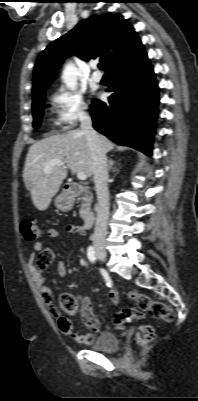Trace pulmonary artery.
<instances>
[{
    "label": "pulmonary artery",
    "instance_id": "pulmonary-artery-1",
    "mask_svg": "<svg viewBox=\"0 0 198 401\" xmlns=\"http://www.w3.org/2000/svg\"><path fill=\"white\" fill-rule=\"evenodd\" d=\"M92 69L94 70V71H93V74H92V80H93L94 82H97V83L101 82L102 79H103V75H102V73L98 70V65H97L96 63H93V64H92Z\"/></svg>",
    "mask_w": 198,
    "mask_h": 401
}]
</instances>
